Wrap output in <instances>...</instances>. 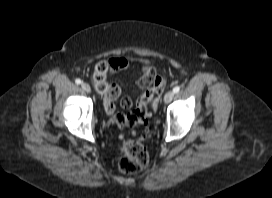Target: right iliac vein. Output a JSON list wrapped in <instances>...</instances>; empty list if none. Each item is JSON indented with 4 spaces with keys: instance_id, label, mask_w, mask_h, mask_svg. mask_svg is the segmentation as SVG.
<instances>
[{
    "instance_id": "1",
    "label": "right iliac vein",
    "mask_w": 272,
    "mask_h": 198,
    "mask_svg": "<svg viewBox=\"0 0 272 198\" xmlns=\"http://www.w3.org/2000/svg\"><path fill=\"white\" fill-rule=\"evenodd\" d=\"M81 87H82V89H83L85 92H87V93H90V92H91V88H90L89 84L83 82V83L81 84Z\"/></svg>"
}]
</instances>
